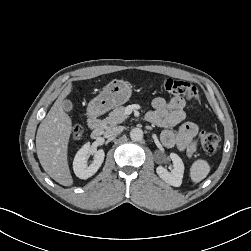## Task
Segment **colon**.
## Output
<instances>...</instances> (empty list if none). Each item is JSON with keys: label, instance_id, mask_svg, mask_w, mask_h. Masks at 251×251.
<instances>
[{"label": "colon", "instance_id": "colon-1", "mask_svg": "<svg viewBox=\"0 0 251 251\" xmlns=\"http://www.w3.org/2000/svg\"><path fill=\"white\" fill-rule=\"evenodd\" d=\"M160 86L170 95L186 97L193 105H197L200 102L197 88L189 82L168 78L162 80ZM82 135L83 128L80 125H76L72 130V140L76 142L81 139ZM199 141L204 151L208 154H214L219 146L218 137L206 128L201 130Z\"/></svg>", "mask_w": 251, "mask_h": 251}]
</instances>
